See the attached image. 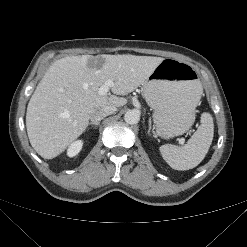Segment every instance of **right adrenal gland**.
Masks as SVG:
<instances>
[{
  "instance_id": "obj_1",
  "label": "right adrenal gland",
  "mask_w": 247,
  "mask_h": 247,
  "mask_svg": "<svg viewBox=\"0 0 247 247\" xmlns=\"http://www.w3.org/2000/svg\"><path fill=\"white\" fill-rule=\"evenodd\" d=\"M95 125L96 127L100 125V123H94V122H90L89 126Z\"/></svg>"
}]
</instances>
